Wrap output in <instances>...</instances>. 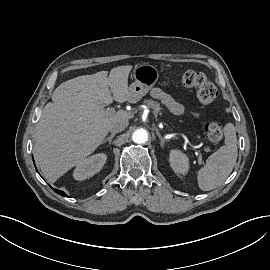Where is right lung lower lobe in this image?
I'll return each instance as SVG.
<instances>
[{
  "instance_id": "right-lung-lower-lobe-1",
  "label": "right lung lower lobe",
  "mask_w": 270,
  "mask_h": 270,
  "mask_svg": "<svg viewBox=\"0 0 270 270\" xmlns=\"http://www.w3.org/2000/svg\"><path fill=\"white\" fill-rule=\"evenodd\" d=\"M56 193H58V194H60V195H62V196H65V197H67V195L63 192V191H61V190H57V189H53Z\"/></svg>"
}]
</instances>
